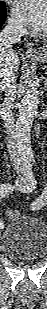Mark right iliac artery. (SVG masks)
Here are the masks:
<instances>
[{"mask_svg": "<svg viewBox=\"0 0 47 309\" xmlns=\"http://www.w3.org/2000/svg\"><path fill=\"white\" fill-rule=\"evenodd\" d=\"M25 177H26V183L23 186L15 187L10 184L2 185L0 188V196L6 197L10 193H12L14 190H20L22 192H31L35 188L36 180L29 166L25 167ZM2 227H3V224L0 223V228Z\"/></svg>", "mask_w": 47, "mask_h": 309, "instance_id": "right-iliac-artery-1", "label": "right iliac artery"}]
</instances>
